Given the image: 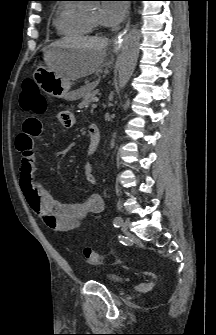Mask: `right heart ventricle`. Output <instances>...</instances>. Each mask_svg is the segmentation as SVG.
<instances>
[{"label": "right heart ventricle", "mask_w": 216, "mask_h": 335, "mask_svg": "<svg viewBox=\"0 0 216 335\" xmlns=\"http://www.w3.org/2000/svg\"><path fill=\"white\" fill-rule=\"evenodd\" d=\"M53 23L58 34L66 37L86 36L93 30L86 14L81 12L78 5L72 2L58 6Z\"/></svg>", "instance_id": "e07e8e85"}]
</instances>
